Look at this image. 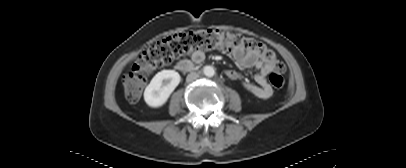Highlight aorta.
I'll return each instance as SVG.
<instances>
[{
	"mask_svg": "<svg viewBox=\"0 0 406 168\" xmlns=\"http://www.w3.org/2000/svg\"><path fill=\"white\" fill-rule=\"evenodd\" d=\"M203 73L207 77H212L215 74L214 68L212 66H205L203 68Z\"/></svg>",
	"mask_w": 406,
	"mask_h": 168,
	"instance_id": "1",
	"label": "aorta"
}]
</instances>
